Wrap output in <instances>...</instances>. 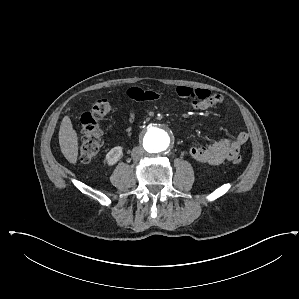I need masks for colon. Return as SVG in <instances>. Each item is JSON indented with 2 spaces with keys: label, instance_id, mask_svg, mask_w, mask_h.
Masks as SVG:
<instances>
[{
  "label": "colon",
  "instance_id": "colon-1",
  "mask_svg": "<svg viewBox=\"0 0 299 299\" xmlns=\"http://www.w3.org/2000/svg\"><path fill=\"white\" fill-rule=\"evenodd\" d=\"M112 111V106L107 99L95 100L89 111L82 114L81 130L83 140L79 149V161L88 163L92 161L100 152L103 146V133L98 121ZM232 162L236 165L242 162L240 155H235Z\"/></svg>",
  "mask_w": 299,
  "mask_h": 299
}]
</instances>
